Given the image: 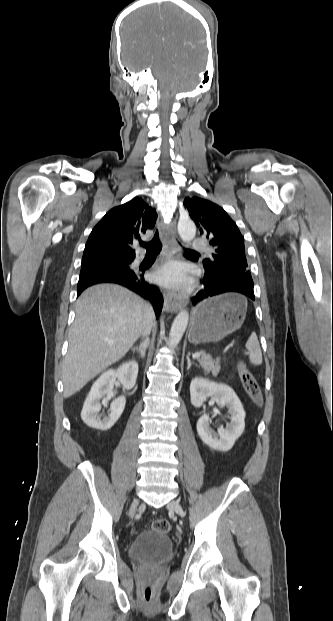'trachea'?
Instances as JSON below:
<instances>
[{"instance_id":"obj_1","label":"trachea","mask_w":333,"mask_h":621,"mask_svg":"<svg viewBox=\"0 0 333 621\" xmlns=\"http://www.w3.org/2000/svg\"><path fill=\"white\" fill-rule=\"evenodd\" d=\"M140 245L146 249L147 254H150V255L158 254L162 249V243L159 239L158 231L156 232L152 241H150L149 243H141ZM185 252L192 253V254H198L197 252L190 250V249H186Z\"/></svg>"}]
</instances>
